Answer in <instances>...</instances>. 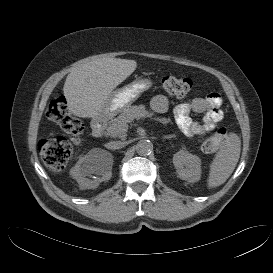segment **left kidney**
<instances>
[{
    "label": "left kidney",
    "mask_w": 273,
    "mask_h": 273,
    "mask_svg": "<svg viewBox=\"0 0 273 273\" xmlns=\"http://www.w3.org/2000/svg\"><path fill=\"white\" fill-rule=\"evenodd\" d=\"M173 164L182 180L189 183L198 182L201 178V159L185 150L173 155Z\"/></svg>",
    "instance_id": "obj_1"
}]
</instances>
